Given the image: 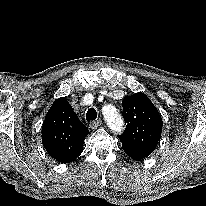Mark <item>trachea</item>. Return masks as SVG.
I'll return each instance as SVG.
<instances>
[{"instance_id": "3493384b", "label": "trachea", "mask_w": 206, "mask_h": 206, "mask_svg": "<svg viewBox=\"0 0 206 206\" xmlns=\"http://www.w3.org/2000/svg\"><path fill=\"white\" fill-rule=\"evenodd\" d=\"M97 118V111L94 108L88 109L86 113V120L87 121H92Z\"/></svg>"}]
</instances>
